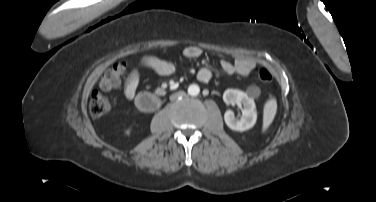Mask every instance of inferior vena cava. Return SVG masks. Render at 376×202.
Listing matches in <instances>:
<instances>
[{
  "instance_id": "1",
  "label": "inferior vena cava",
  "mask_w": 376,
  "mask_h": 202,
  "mask_svg": "<svg viewBox=\"0 0 376 202\" xmlns=\"http://www.w3.org/2000/svg\"><path fill=\"white\" fill-rule=\"evenodd\" d=\"M180 95H182V93H178V94H176V97H177V96H180ZM173 98H174V97H173Z\"/></svg>"
}]
</instances>
